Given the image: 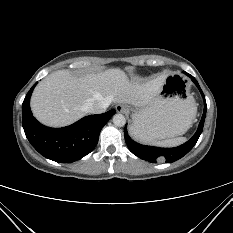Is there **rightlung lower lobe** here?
Returning <instances> with one entry per match:
<instances>
[{"mask_svg": "<svg viewBox=\"0 0 233 233\" xmlns=\"http://www.w3.org/2000/svg\"><path fill=\"white\" fill-rule=\"evenodd\" d=\"M35 85L22 104L23 128L31 145L44 157L61 163H71L89 154L98 142L101 129L115 114V110L86 116L67 127H46L32 116L30 110L29 101Z\"/></svg>", "mask_w": 233, "mask_h": 233, "instance_id": "obj_1", "label": "right lung lower lobe"}]
</instances>
